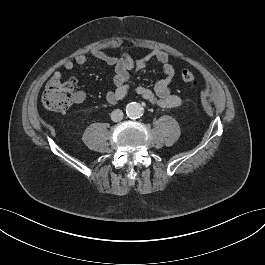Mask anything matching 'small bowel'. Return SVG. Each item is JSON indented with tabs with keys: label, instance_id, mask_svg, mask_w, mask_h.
<instances>
[{
	"label": "small bowel",
	"instance_id": "small-bowel-1",
	"mask_svg": "<svg viewBox=\"0 0 265 265\" xmlns=\"http://www.w3.org/2000/svg\"><path fill=\"white\" fill-rule=\"evenodd\" d=\"M91 60L104 62L113 66L115 69V75L113 77L114 88L106 94V100L109 104L114 105L122 100L129 91V79L136 72L155 61L161 64L164 77L158 80L152 89L138 86L134 89V92L151 104L162 108H175L181 105V98L172 93L170 89L176 70L170 63V57L167 52L152 50L143 56L134 57L127 53L113 56L102 50H93L89 55L78 54L74 59L64 61L63 68L67 71H72L76 65H85ZM53 76L62 78V74L59 71H55ZM85 97L86 95L83 91H76L74 102L76 104L82 103Z\"/></svg>",
	"mask_w": 265,
	"mask_h": 265
}]
</instances>
